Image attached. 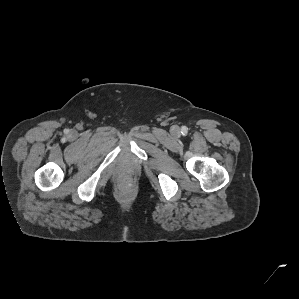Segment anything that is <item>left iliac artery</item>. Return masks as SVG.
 Masks as SVG:
<instances>
[{"label":"left iliac artery","instance_id":"obj_1","mask_svg":"<svg viewBox=\"0 0 299 299\" xmlns=\"http://www.w3.org/2000/svg\"><path fill=\"white\" fill-rule=\"evenodd\" d=\"M187 131H188L187 127L183 126L182 127V134L183 135L187 134Z\"/></svg>","mask_w":299,"mask_h":299}]
</instances>
